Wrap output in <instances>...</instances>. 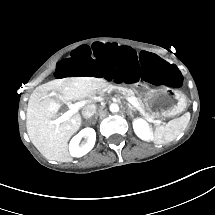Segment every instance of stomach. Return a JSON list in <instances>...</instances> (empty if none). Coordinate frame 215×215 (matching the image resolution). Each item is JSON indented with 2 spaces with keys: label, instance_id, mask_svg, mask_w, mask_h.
<instances>
[{
  "label": "stomach",
  "instance_id": "obj_1",
  "mask_svg": "<svg viewBox=\"0 0 215 215\" xmlns=\"http://www.w3.org/2000/svg\"><path fill=\"white\" fill-rule=\"evenodd\" d=\"M133 92L143 102L146 110L155 117L164 118L178 115L187 106L185 95L177 89L136 85Z\"/></svg>",
  "mask_w": 215,
  "mask_h": 215
}]
</instances>
